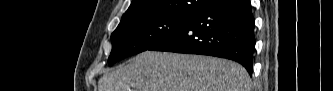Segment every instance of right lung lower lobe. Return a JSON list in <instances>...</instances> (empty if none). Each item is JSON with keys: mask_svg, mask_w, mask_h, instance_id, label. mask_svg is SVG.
I'll list each match as a JSON object with an SVG mask.
<instances>
[{"mask_svg": "<svg viewBox=\"0 0 333 91\" xmlns=\"http://www.w3.org/2000/svg\"><path fill=\"white\" fill-rule=\"evenodd\" d=\"M254 17L248 0H215L150 50L222 57L252 74Z\"/></svg>", "mask_w": 333, "mask_h": 91, "instance_id": "right-lung-lower-lobe-1", "label": "right lung lower lobe"}]
</instances>
